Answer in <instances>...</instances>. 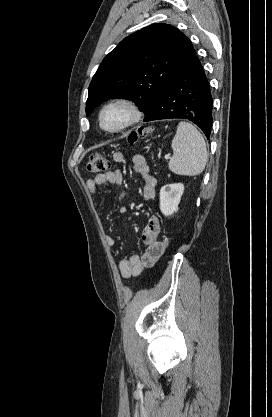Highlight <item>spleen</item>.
<instances>
[{
	"label": "spleen",
	"mask_w": 272,
	"mask_h": 417,
	"mask_svg": "<svg viewBox=\"0 0 272 417\" xmlns=\"http://www.w3.org/2000/svg\"><path fill=\"white\" fill-rule=\"evenodd\" d=\"M173 156L169 169L178 175L195 176L203 172L208 153L201 133L190 123L181 121L171 144Z\"/></svg>",
	"instance_id": "3e777b00"
}]
</instances>
